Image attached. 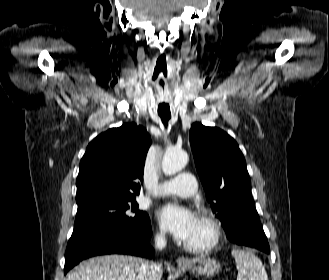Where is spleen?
Returning a JSON list of instances; mask_svg holds the SVG:
<instances>
[{"instance_id":"3e777b00","label":"spleen","mask_w":329,"mask_h":280,"mask_svg":"<svg viewBox=\"0 0 329 280\" xmlns=\"http://www.w3.org/2000/svg\"><path fill=\"white\" fill-rule=\"evenodd\" d=\"M232 256L238 271L237 280H268L265 267L258 257L239 249L232 250Z\"/></svg>"}]
</instances>
